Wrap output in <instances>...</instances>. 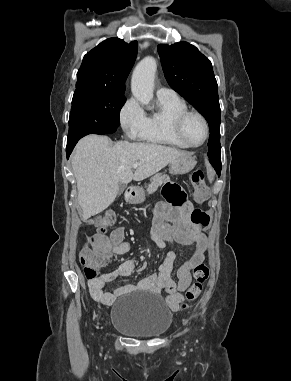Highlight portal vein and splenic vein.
I'll use <instances>...</instances> for the list:
<instances>
[{
  "instance_id": "portal-vein-and-splenic-vein-1",
  "label": "portal vein and splenic vein",
  "mask_w": 291,
  "mask_h": 381,
  "mask_svg": "<svg viewBox=\"0 0 291 381\" xmlns=\"http://www.w3.org/2000/svg\"><path fill=\"white\" fill-rule=\"evenodd\" d=\"M138 166H139V163H135V164L133 165V168L136 169Z\"/></svg>"
}]
</instances>
